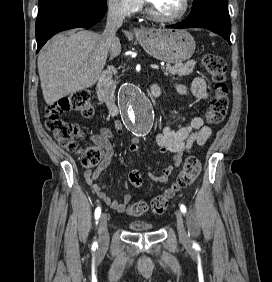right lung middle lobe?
<instances>
[{
	"instance_id": "dd1d6c3e",
	"label": "right lung middle lobe",
	"mask_w": 272,
	"mask_h": 282,
	"mask_svg": "<svg viewBox=\"0 0 272 282\" xmlns=\"http://www.w3.org/2000/svg\"><path fill=\"white\" fill-rule=\"evenodd\" d=\"M50 1V0H39V5H42L43 3ZM93 1H97V2H103L106 3L107 0H93Z\"/></svg>"
}]
</instances>
